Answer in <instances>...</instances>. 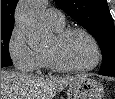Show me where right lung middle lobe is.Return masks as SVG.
<instances>
[{
  "mask_svg": "<svg viewBox=\"0 0 115 99\" xmlns=\"http://www.w3.org/2000/svg\"><path fill=\"white\" fill-rule=\"evenodd\" d=\"M13 28H1V66H11L12 60L9 55V40Z\"/></svg>",
  "mask_w": 115,
  "mask_h": 99,
  "instance_id": "obj_1",
  "label": "right lung middle lobe"
}]
</instances>
